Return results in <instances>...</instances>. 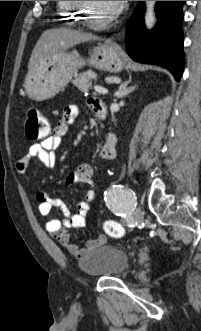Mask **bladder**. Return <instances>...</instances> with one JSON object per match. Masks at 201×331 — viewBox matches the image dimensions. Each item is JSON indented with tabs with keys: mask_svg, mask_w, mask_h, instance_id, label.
<instances>
[{
	"mask_svg": "<svg viewBox=\"0 0 201 331\" xmlns=\"http://www.w3.org/2000/svg\"><path fill=\"white\" fill-rule=\"evenodd\" d=\"M129 261V256L116 246L102 244L91 250L78 265L90 277H118L127 271Z\"/></svg>",
	"mask_w": 201,
	"mask_h": 331,
	"instance_id": "bladder-1",
	"label": "bladder"
}]
</instances>
